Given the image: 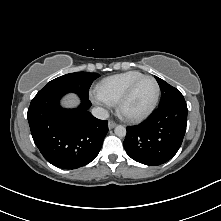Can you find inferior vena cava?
<instances>
[{"instance_id":"602c4592","label":"inferior vena cava","mask_w":221,"mask_h":221,"mask_svg":"<svg viewBox=\"0 0 221 221\" xmlns=\"http://www.w3.org/2000/svg\"><path fill=\"white\" fill-rule=\"evenodd\" d=\"M92 115L98 119L104 120L109 117V112L102 107H96L92 109Z\"/></svg>"}]
</instances>
